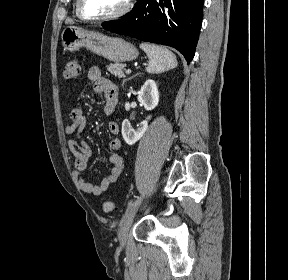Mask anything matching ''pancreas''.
Instances as JSON below:
<instances>
[{"instance_id": "1", "label": "pancreas", "mask_w": 288, "mask_h": 280, "mask_svg": "<svg viewBox=\"0 0 288 280\" xmlns=\"http://www.w3.org/2000/svg\"><path fill=\"white\" fill-rule=\"evenodd\" d=\"M107 70L115 75L116 77H119V78H124L125 75L123 73L126 65L125 64H119V63H115V64H110V65H107Z\"/></svg>"}]
</instances>
